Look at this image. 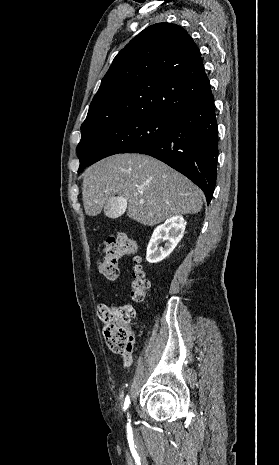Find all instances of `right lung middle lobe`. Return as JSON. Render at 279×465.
I'll use <instances>...</instances> for the list:
<instances>
[{
	"label": "right lung middle lobe",
	"instance_id": "1",
	"mask_svg": "<svg viewBox=\"0 0 279 465\" xmlns=\"http://www.w3.org/2000/svg\"><path fill=\"white\" fill-rule=\"evenodd\" d=\"M171 125L170 117L144 115L81 130V141L77 146L78 172L107 156L145 148L163 136Z\"/></svg>",
	"mask_w": 279,
	"mask_h": 465
}]
</instances>
